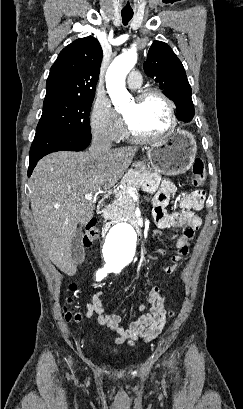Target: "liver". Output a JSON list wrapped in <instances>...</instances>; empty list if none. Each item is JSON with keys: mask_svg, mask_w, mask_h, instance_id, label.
Segmentation results:
<instances>
[{"mask_svg": "<svg viewBox=\"0 0 243 409\" xmlns=\"http://www.w3.org/2000/svg\"><path fill=\"white\" fill-rule=\"evenodd\" d=\"M138 151L121 147L92 157L88 152L59 151L43 157L29 181L31 209L42 248L64 273L73 276L71 244L77 225H86L95 206L85 195L107 191L120 180Z\"/></svg>", "mask_w": 243, "mask_h": 409, "instance_id": "liver-1", "label": "liver"}]
</instances>
